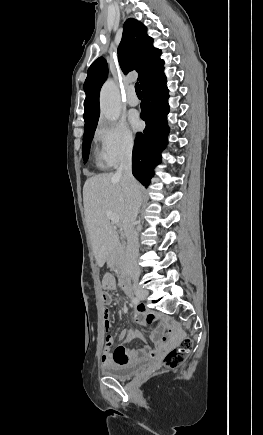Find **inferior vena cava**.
Segmentation results:
<instances>
[{
  "instance_id": "1",
  "label": "inferior vena cava",
  "mask_w": 263,
  "mask_h": 435,
  "mask_svg": "<svg viewBox=\"0 0 263 435\" xmlns=\"http://www.w3.org/2000/svg\"><path fill=\"white\" fill-rule=\"evenodd\" d=\"M116 175L122 180L126 197V211L129 218L127 226V248L125 255V269L131 276L138 275L137 256L139 250L138 233L135 229L137 215L141 206L139 186L132 175V150L127 151L121 158Z\"/></svg>"
}]
</instances>
